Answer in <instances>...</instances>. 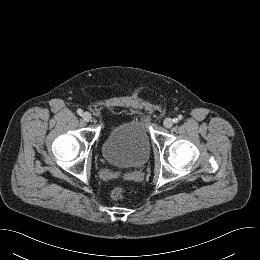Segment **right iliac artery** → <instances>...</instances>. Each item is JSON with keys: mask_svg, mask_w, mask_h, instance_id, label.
Instances as JSON below:
<instances>
[{"mask_svg": "<svg viewBox=\"0 0 260 260\" xmlns=\"http://www.w3.org/2000/svg\"><path fill=\"white\" fill-rule=\"evenodd\" d=\"M77 113H78L79 115H82L83 111H82L81 109H78V110H77Z\"/></svg>", "mask_w": 260, "mask_h": 260, "instance_id": "1", "label": "right iliac artery"}]
</instances>
